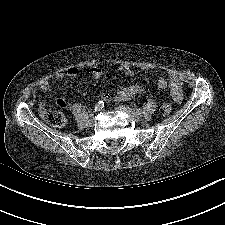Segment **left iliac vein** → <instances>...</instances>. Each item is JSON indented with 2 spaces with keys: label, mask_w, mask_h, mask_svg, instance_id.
<instances>
[{
  "label": "left iliac vein",
  "mask_w": 225,
  "mask_h": 225,
  "mask_svg": "<svg viewBox=\"0 0 225 225\" xmlns=\"http://www.w3.org/2000/svg\"><path fill=\"white\" fill-rule=\"evenodd\" d=\"M115 109L127 113V114H128L130 117H132L135 121H140V120H141V115L136 114V113H133V112L131 111L130 108H126V107H123V106H118V107H116Z\"/></svg>",
  "instance_id": "obj_1"
}]
</instances>
